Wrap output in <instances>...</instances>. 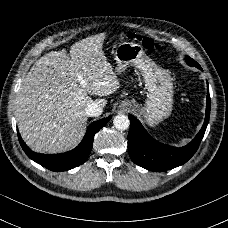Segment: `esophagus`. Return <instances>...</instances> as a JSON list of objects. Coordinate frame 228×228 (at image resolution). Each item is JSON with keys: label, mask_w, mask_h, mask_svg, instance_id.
<instances>
[{"label": "esophagus", "mask_w": 228, "mask_h": 228, "mask_svg": "<svg viewBox=\"0 0 228 228\" xmlns=\"http://www.w3.org/2000/svg\"><path fill=\"white\" fill-rule=\"evenodd\" d=\"M119 111H121L122 113H127L129 111V106L126 103H121L119 105Z\"/></svg>", "instance_id": "1"}]
</instances>
